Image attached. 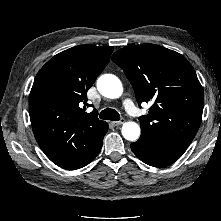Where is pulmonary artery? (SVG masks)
I'll use <instances>...</instances> for the list:
<instances>
[{"label": "pulmonary artery", "mask_w": 221, "mask_h": 221, "mask_svg": "<svg viewBox=\"0 0 221 221\" xmlns=\"http://www.w3.org/2000/svg\"><path fill=\"white\" fill-rule=\"evenodd\" d=\"M123 104H124V107L128 113L137 114L136 106L134 105V103L131 100L125 99Z\"/></svg>", "instance_id": "e3ab8cb5"}]
</instances>
